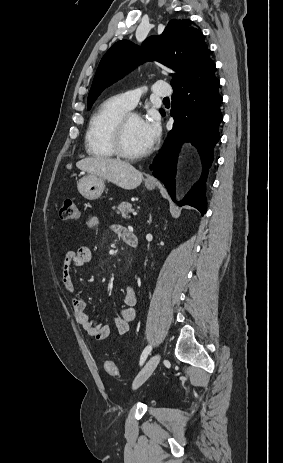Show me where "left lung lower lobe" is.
<instances>
[{"mask_svg": "<svg viewBox=\"0 0 283 463\" xmlns=\"http://www.w3.org/2000/svg\"><path fill=\"white\" fill-rule=\"evenodd\" d=\"M215 68L211 60L173 87L170 113L174 118L173 128L151 167L153 175L164 183L175 200L177 156L184 139L191 142L200 156L202 175L178 204L193 206L202 215L207 207L205 181L213 162V148L220 139L219 125L223 119L220 111L222 97L218 91L220 81L215 76Z\"/></svg>", "mask_w": 283, "mask_h": 463, "instance_id": "1", "label": "left lung lower lobe"}]
</instances>
